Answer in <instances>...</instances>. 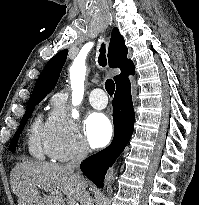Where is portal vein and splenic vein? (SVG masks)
<instances>
[{
    "label": "portal vein and splenic vein",
    "instance_id": "portal-vein-and-splenic-vein-1",
    "mask_svg": "<svg viewBox=\"0 0 199 205\" xmlns=\"http://www.w3.org/2000/svg\"><path fill=\"white\" fill-rule=\"evenodd\" d=\"M56 194L62 196V193L59 192V191H57ZM67 204H68V205H75V201L72 200V199H70V198H67Z\"/></svg>",
    "mask_w": 199,
    "mask_h": 205
}]
</instances>
